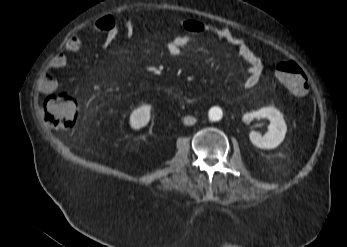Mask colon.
Listing matches in <instances>:
<instances>
[{"mask_svg":"<svg viewBox=\"0 0 347 247\" xmlns=\"http://www.w3.org/2000/svg\"><path fill=\"white\" fill-rule=\"evenodd\" d=\"M279 82L294 96L303 99L308 94V80L304 70L295 61H281L275 67ZM45 121L59 132H69L78 117L77 101L66 94L52 93L44 101Z\"/></svg>","mask_w":347,"mask_h":247,"instance_id":"colon-1","label":"colon"}]
</instances>
